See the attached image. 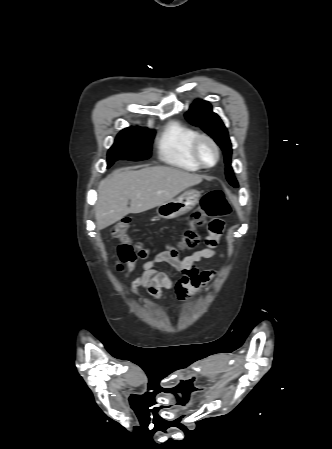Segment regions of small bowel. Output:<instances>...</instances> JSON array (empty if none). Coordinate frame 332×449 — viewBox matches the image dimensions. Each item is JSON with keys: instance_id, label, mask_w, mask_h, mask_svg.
Here are the masks:
<instances>
[{"instance_id": "c3829d8e", "label": "small bowel", "mask_w": 332, "mask_h": 449, "mask_svg": "<svg viewBox=\"0 0 332 449\" xmlns=\"http://www.w3.org/2000/svg\"><path fill=\"white\" fill-rule=\"evenodd\" d=\"M223 228L222 220L210 222L205 247L191 255L182 256L178 248L168 245L164 251L146 260L143 263V272L132 281L131 292L140 296V290L144 289L153 298L163 299V290H174L181 301H187L196 296L216 275L213 270L199 269L197 263L215 257L224 258V254L216 250ZM148 254V249H142L137 252V257L145 259ZM160 263L169 264L180 272L182 277L173 282L166 272L155 268ZM134 268V262L128 263L126 270L123 265H117L118 271L124 272L125 276H128Z\"/></svg>"}]
</instances>
